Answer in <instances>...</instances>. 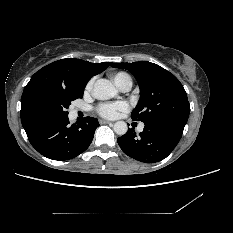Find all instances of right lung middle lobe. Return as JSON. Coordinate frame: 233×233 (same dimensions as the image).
I'll list each match as a JSON object with an SVG mask.
<instances>
[{
    "label": "right lung middle lobe",
    "instance_id": "dd1d6c3e",
    "mask_svg": "<svg viewBox=\"0 0 233 233\" xmlns=\"http://www.w3.org/2000/svg\"><path fill=\"white\" fill-rule=\"evenodd\" d=\"M84 91H55L42 95L39 99V109L50 121L68 117L66 109L72 101L83 97Z\"/></svg>",
    "mask_w": 233,
    "mask_h": 233
}]
</instances>
